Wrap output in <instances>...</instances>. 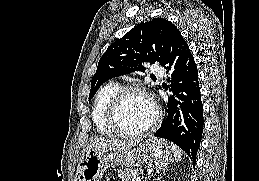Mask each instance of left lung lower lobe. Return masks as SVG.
I'll return each instance as SVG.
<instances>
[{
  "label": "left lung lower lobe",
  "mask_w": 259,
  "mask_h": 181,
  "mask_svg": "<svg viewBox=\"0 0 259 181\" xmlns=\"http://www.w3.org/2000/svg\"><path fill=\"white\" fill-rule=\"evenodd\" d=\"M164 68L171 72L167 80L170 86L165 89L173 95L167 104L168 116L154 136L181 147L195 166L204 124L203 104L194 57L183 37L172 46Z\"/></svg>",
  "instance_id": "0a47b994"
}]
</instances>
